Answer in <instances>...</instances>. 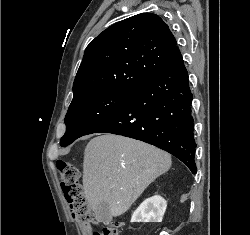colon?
Wrapping results in <instances>:
<instances>
[{
    "label": "colon",
    "instance_id": "5ec220e1",
    "mask_svg": "<svg viewBox=\"0 0 250 235\" xmlns=\"http://www.w3.org/2000/svg\"><path fill=\"white\" fill-rule=\"evenodd\" d=\"M61 177V187L65 199L69 205L71 216L80 222L88 232V235H119L121 224L119 222H107L100 230L94 229V216L84 196L80 183V171L70 162H58Z\"/></svg>",
    "mask_w": 250,
    "mask_h": 235
}]
</instances>
